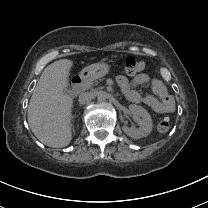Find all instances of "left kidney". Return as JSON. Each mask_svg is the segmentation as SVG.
Returning a JSON list of instances; mask_svg holds the SVG:
<instances>
[{"label": "left kidney", "mask_w": 208, "mask_h": 208, "mask_svg": "<svg viewBox=\"0 0 208 208\" xmlns=\"http://www.w3.org/2000/svg\"><path fill=\"white\" fill-rule=\"evenodd\" d=\"M129 111L132 113L140 127L136 129L123 126L122 130L124 133L133 139H140L148 136L153 128V121L150 114L143 107L135 104L129 106Z\"/></svg>", "instance_id": "1"}]
</instances>
